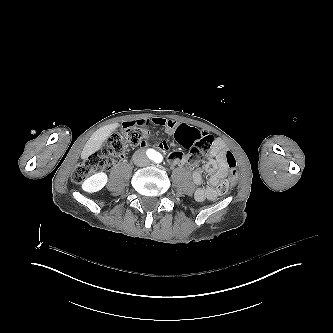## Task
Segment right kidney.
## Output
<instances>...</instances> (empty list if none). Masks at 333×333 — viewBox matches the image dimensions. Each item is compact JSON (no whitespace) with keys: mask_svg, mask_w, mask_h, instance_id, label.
Returning <instances> with one entry per match:
<instances>
[{"mask_svg":"<svg viewBox=\"0 0 333 333\" xmlns=\"http://www.w3.org/2000/svg\"><path fill=\"white\" fill-rule=\"evenodd\" d=\"M108 182V175L105 172L95 173L86 178L82 184L81 189L89 194L102 190Z\"/></svg>","mask_w":333,"mask_h":333,"instance_id":"ca27d5eb","label":"right kidney"}]
</instances>
